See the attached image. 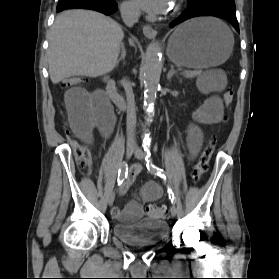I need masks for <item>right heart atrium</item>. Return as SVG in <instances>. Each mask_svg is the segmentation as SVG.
<instances>
[{
    "label": "right heart atrium",
    "mask_w": 279,
    "mask_h": 279,
    "mask_svg": "<svg viewBox=\"0 0 279 279\" xmlns=\"http://www.w3.org/2000/svg\"><path fill=\"white\" fill-rule=\"evenodd\" d=\"M121 9L126 16L132 17L137 13V9L132 2L126 1L121 5Z\"/></svg>",
    "instance_id": "d8ad5b80"
}]
</instances>
